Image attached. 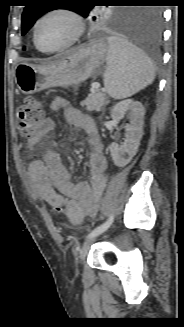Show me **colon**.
<instances>
[{"label": "colon", "instance_id": "5ec220e1", "mask_svg": "<svg viewBox=\"0 0 184 327\" xmlns=\"http://www.w3.org/2000/svg\"><path fill=\"white\" fill-rule=\"evenodd\" d=\"M44 117L43 107L35 99L27 98L18 107L17 119L20 131L23 135H31ZM55 212H61L59 207L52 208ZM98 212L97 206L89 208L86 212L88 217H95Z\"/></svg>", "mask_w": 184, "mask_h": 327}]
</instances>
